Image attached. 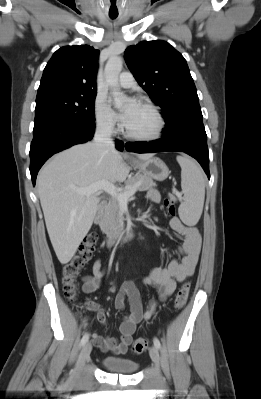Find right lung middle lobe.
<instances>
[{
	"label": "right lung middle lobe",
	"instance_id": "right-lung-middle-lobe-1",
	"mask_svg": "<svg viewBox=\"0 0 261 399\" xmlns=\"http://www.w3.org/2000/svg\"><path fill=\"white\" fill-rule=\"evenodd\" d=\"M96 95L52 94L36 98L35 121L52 117L71 119L87 128H95Z\"/></svg>",
	"mask_w": 261,
	"mask_h": 399
}]
</instances>
